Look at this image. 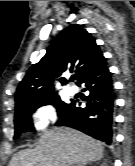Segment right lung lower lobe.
Instances as JSON below:
<instances>
[{
  "instance_id": "right-lung-lower-lobe-1",
  "label": "right lung lower lobe",
  "mask_w": 135,
  "mask_h": 166,
  "mask_svg": "<svg viewBox=\"0 0 135 166\" xmlns=\"http://www.w3.org/2000/svg\"><path fill=\"white\" fill-rule=\"evenodd\" d=\"M111 75L106 59L84 74L77 84H84V90L90 92L87 99H83L86 107H81V101L73 100L56 125H67L111 144L116 98Z\"/></svg>"
}]
</instances>
